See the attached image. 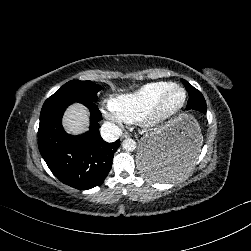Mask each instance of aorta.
Returning <instances> with one entry per match:
<instances>
[{
    "instance_id": "obj_1",
    "label": "aorta",
    "mask_w": 251,
    "mask_h": 251,
    "mask_svg": "<svg viewBox=\"0 0 251 251\" xmlns=\"http://www.w3.org/2000/svg\"><path fill=\"white\" fill-rule=\"evenodd\" d=\"M136 146V142L132 138H125L122 141V148L128 152L133 151Z\"/></svg>"
}]
</instances>
